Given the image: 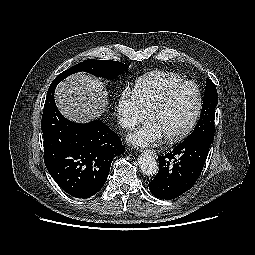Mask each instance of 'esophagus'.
Wrapping results in <instances>:
<instances>
[{
	"mask_svg": "<svg viewBox=\"0 0 255 255\" xmlns=\"http://www.w3.org/2000/svg\"><path fill=\"white\" fill-rule=\"evenodd\" d=\"M141 152H144V153H151L152 155H155V156H156V151H155V150L144 149V150H141Z\"/></svg>",
	"mask_w": 255,
	"mask_h": 255,
	"instance_id": "esophagus-1",
	"label": "esophagus"
}]
</instances>
